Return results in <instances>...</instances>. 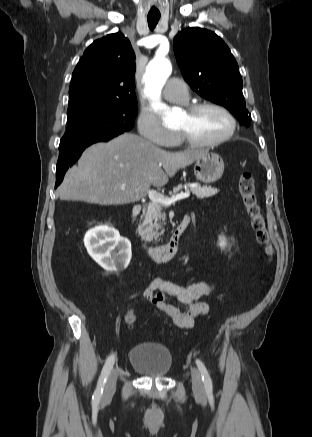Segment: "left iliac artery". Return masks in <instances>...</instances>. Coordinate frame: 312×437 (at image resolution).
Masks as SVG:
<instances>
[{"label": "left iliac artery", "instance_id": "left-iliac-artery-1", "mask_svg": "<svg viewBox=\"0 0 312 437\" xmlns=\"http://www.w3.org/2000/svg\"><path fill=\"white\" fill-rule=\"evenodd\" d=\"M196 364H197L198 370L201 373L206 393H207L208 396H211L212 395V391H213V387H212V380L210 378V375H209V373H208V371H207V369H206V367H205V365L203 364L202 361L197 359L196 360Z\"/></svg>", "mask_w": 312, "mask_h": 437}]
</instances>
